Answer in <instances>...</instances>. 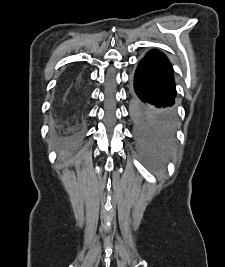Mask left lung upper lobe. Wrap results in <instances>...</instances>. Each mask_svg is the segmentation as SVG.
Masks as SVG:
<instances>
[{
  "mask_svg": "<svg viewBox=\"0 0 225 267\" xmlns=\"http://www.w3.org/2000/svg\"><path fill=\"white\" fill-rule=\"evenodd\" d=\"M137 126L142 135H171L174 130L172 127L162 123H156L148 113L146 106L138 104Z\"/></svg>",
  "mask_w": 225,
  "mask_h": 267,
  "instance_id": "1",
  "label": "left lung upper lobe"
}]
</instances>
